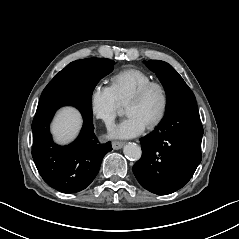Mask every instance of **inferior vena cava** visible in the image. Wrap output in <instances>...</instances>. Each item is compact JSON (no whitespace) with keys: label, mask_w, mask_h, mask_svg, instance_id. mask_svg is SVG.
<instances>
[{"label":"inferior vena cava","mask_w":239,"mask_h":239,"mask_svg":"<svg viewBox=\"0 0 239 239\" xmlns=\"http://www.w3.org/2000/svg\"><path fill=\"white\" fill-rule=\"evenodd\" d=\"M106 125H107V129L108 130H112L114 127H115V123H114V121H107L106 122Z\"/></svg>","instance_id":"obj_1"}]
</instances>
